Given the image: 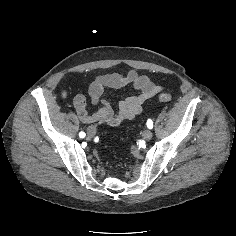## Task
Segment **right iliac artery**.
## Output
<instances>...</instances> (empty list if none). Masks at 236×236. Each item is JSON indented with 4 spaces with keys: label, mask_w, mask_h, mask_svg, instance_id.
Returning a JSON list of instances; mask_svg holds the SVG:
<instances>
[{
    "label": "right iliac artery",
    "mask_w": 236,
    "mask_h": 236,
    "mask_svg": "<svg viewBox=\"0 0 236 236\" xmlns=\"http://www.w3.org/2000/svg\"><path fill=\"white\" fill-rule=\"evenodd\" d=\"M85 135H86V134H85L84 132H80V133H79V137H80V138H84Z\"/></svg>",
    "instance_id": "right-iliac-artery-1"
}]
</instances>
